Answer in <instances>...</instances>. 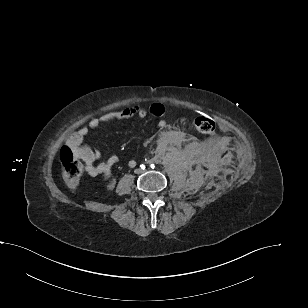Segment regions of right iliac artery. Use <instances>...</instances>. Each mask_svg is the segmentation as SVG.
Instances as JSON below:
<instances>
[{"instance_id":"1","label":"right iliac artery","mask_w":308,"mask_h":308,"mask_svg":"<svg viewBox=\"0 0 308 308\" xmlns=\"http://www.w3.org/2000/svg\"><path fill=\"white\" fill-rule=\"evenodd\" d=\"M141 169H145V166L144 165H140Z\"/></svg>"}]
</instances>
